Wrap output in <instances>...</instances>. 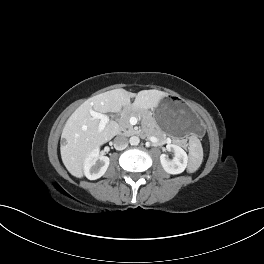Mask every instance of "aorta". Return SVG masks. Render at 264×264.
<instances>
[{
	"label": "aorta",
	"instance_id": "aorta-1",
	"mask_svg": "<svg viewBox=\"0 0 264 264\" xmlns=\"http://www.w3.org/2000/svg\"><path fill=\"white\" fill-rule=\"evenodd\" d=\"M129 142L131 145H138L140 142V139L138 136H131L129 139Z\"/></svg>",
	"mask_w": 264,
	"mask_h": 264
}]
</instances>
